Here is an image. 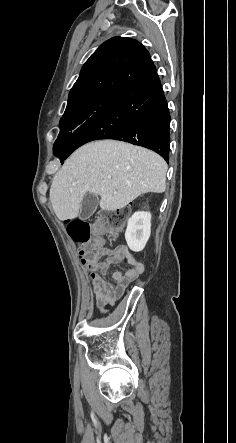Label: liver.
Listing matches in <instances>:
<instances>
[{"label": "liver", "instance_id": "6515ba94", "mask_svg": "<svg viewBox=\"0 0 236 443\" xmlns=\"http://www.w3.org/2000/svg\"><path fill=\"white\" fill-rule=\"evenodd\" d=\"M167 164L155 152L115 140L88 143L55 174L50 202L60 220L79 215L86 193L101 197L102 210L124 208L139 195L166 189Z\"/></svg>", "mask_w": 236, "mask_h": 443}]
</instances>
